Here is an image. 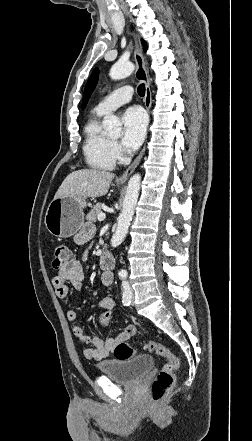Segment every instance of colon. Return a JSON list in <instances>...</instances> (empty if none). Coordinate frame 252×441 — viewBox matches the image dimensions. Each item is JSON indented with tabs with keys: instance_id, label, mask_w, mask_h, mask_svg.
I'll return each instance as SVG.
<instances>
[{
	"instance_id": "1",
	"label": "colon",
	"mask_w": 252,
	"mask_h": 441,
	"mask_svg": "<svg viewBox=\"0 0 252 441\" xmlns=\"http://www.w3.org/2000/svg\"><path fill=\"white\" fill-rule=\"evenodd\" d=\"M72 260L73 257L70 249L67 246L60 245L55 249L52 260V268L61 269ZM114 309L115 306L113 304H107L105 307L100 309V313L97 317V323L102 327L107 325L114 315ZM143 348L145 351L157 354L166 360L153 380L151 388V397L153 402L160 403L173 386L174 372L178 367L179 360L168 347L161 343L147 341L144 343ZM134 354V348L126 342L119 343L114 350V355L118 359H127L134 356Z\"/></svg>"
}]
</instances>
